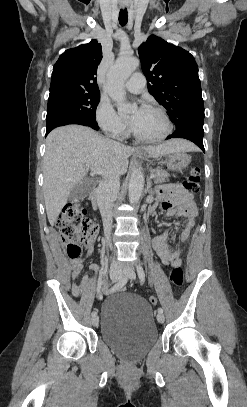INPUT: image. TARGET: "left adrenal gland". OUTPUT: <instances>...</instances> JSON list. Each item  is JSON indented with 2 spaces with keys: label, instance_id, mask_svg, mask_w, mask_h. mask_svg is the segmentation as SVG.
I'll use <instances>...</instances> for the list:
<instances>
[{
  "label": "left adrenal gland",
  "instance_id": "a2214340",
  "mask_svg": "<svg viewBox=\"0 0 247 407\" xmlns=\"http://www.w3.org/2000/svg\"><path fill=\"white\" fill-rule=\"evenodd\" d=\"M151 186H152L151 179L148 178V179H147V191H148V193H150V194L153 193V190L151 189Z\"/></svg>",
  "mask_w": 247,
  "mask_h": 407
}]
</instances>
